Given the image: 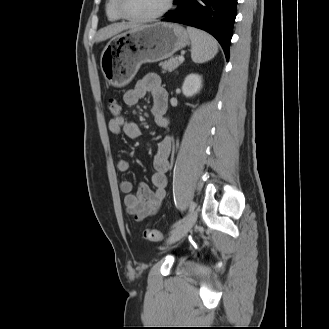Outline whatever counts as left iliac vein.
Here are the masks:
<instances>
[{
	"mask_svg": "<svg viewBox=\"0 0 329 329\" xmlns=\"http://www.w3.org/2000/svg\"><path fill=\"white\" fill-rule=\"evenodd\" d=\"M197 220V210H193L188 215L187 219L177 226L174 230H172L168 240L167 244H173L177 241H179L181 238H183L194 226Z\"/></svg>",
	"mask_w": 329,
	"mask_h": 329,
	"instance_id": "1",
	"label": "left iliac vein"
}]
</instances>
